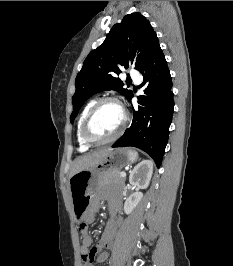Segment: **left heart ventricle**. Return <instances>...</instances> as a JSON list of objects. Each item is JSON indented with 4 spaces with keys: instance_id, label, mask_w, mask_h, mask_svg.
<instances>
[{
    "instance_id": "1",
    "label": "left heart ventricle",
    "mask_w": 233,
    "mask_h": 266,
    "mask_svg": "<svg viewBox=\"0 0 233 266\" xmlns=\"http://www.w3.org/2000/svg\"><path fill=\"white\" fill-rule=\"evenodd\" d=\"M122 121V109L115 103H105L94 114L89 133L95 139H106L118 130Z\"/></svg>"
}]
</instances>
